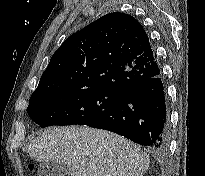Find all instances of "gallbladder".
Returning a JSON list of instances; mask_svg holds the SVG:
<instances>
[{"label": "gallbladder", "instance_id": "gallbladder-1", "mask_svg": "<svg viewBox=\"0 0 205 176\" xmlns=\"http://www.w3.org/2000/svg\"><path fill=\"white\" fill-rule=\"evenodd\" d=\"M38 176H71V169L67 164L59 162H43L37 168Z\"/></svg>", "mask_w": 205, "mask_h": 176}]
</instances>
